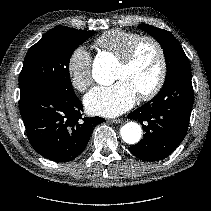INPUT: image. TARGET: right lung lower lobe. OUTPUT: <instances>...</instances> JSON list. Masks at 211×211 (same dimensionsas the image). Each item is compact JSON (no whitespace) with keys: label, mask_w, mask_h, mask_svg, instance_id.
Masks as SVG:
<instances>
[{"label":"right lung lower lobe","mask_w":211,"mask_h":211,"mask_svg":"<svg viewBox=\"0 0 211 211\" xmlns=\"http://www.w3.org/2000/svg\"><path fill=\"white\" fill-rule=\"evenodd\" d=\"M20 113L36 152L55 162L76 158L86 147L100 117L82 118L83 106L75 93L39 88L21 96Z\"/></svg>","instance_id":"obj_1"}]
</instances>
